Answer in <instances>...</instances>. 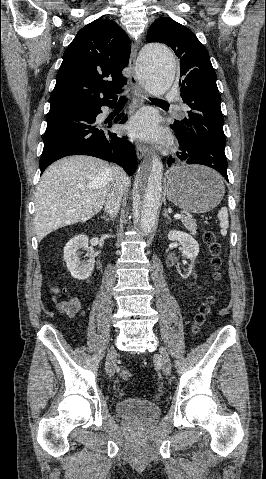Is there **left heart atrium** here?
<instances>
[{
    "mask_svg": "<svg viewBox=\"0 0 266 479\" xmlns=\"http://www.w3.org/2000/svg\"><path fill=\"white\" fill-rule=\"evenodd\" d=\"M128 132L139 138H153L158 135L156 121L152 114L140 112L134 116L127 124Z\"/></svg>",
    "mask_w": 266,
    "mask_h": 479,
    "instance_id": "left-heart-atrium-1",
    "label": "left heart atrium"
}]
</instances>
